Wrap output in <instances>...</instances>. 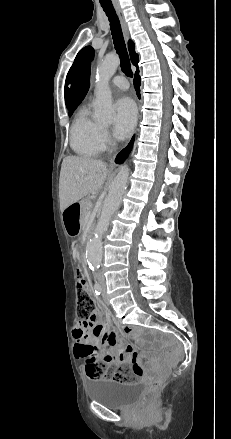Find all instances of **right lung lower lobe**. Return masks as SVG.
<instances>
[{
	"label": "right lung lower lobe",
	"mask_w": 231,
	"mask_h": 439,
	"mask_svg": "<svg viewBox=\"0 0 231 439\" xmlns=\"http://www.w3.org/2000/svg\"><path fill=\"white\" fill-rule=\"evenodd\" d=\"M138 73H139V70L137 69V71L135 73V78H134V86H135L137 95L140 98V89H139V87H140V77H139ZM133 140H134V137L132 138V140L129 143V145L118 154V156L116 158V162L117 163H121L122 161H124L127 158L128 154L131 151Z\"/></svg>",
	"instance_id": "98d812e1"
}]
</instances>
